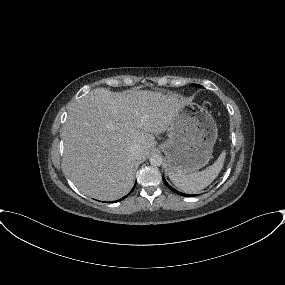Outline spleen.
I'll use <instances>...</instances> for the list:
<instances>
[{
	"mask_svg": "<svg viewBox=\"0 0 285 285\" xmlns=\"http://www.w3.org/2000/svg\"><path fill=\"white\" fill-rule=\"evenodd\" d=\"M226 152L223 151L213 165L203 171L190 174L169 172V178L172 183L185 193H198L210 185L219 175L223 168Z\"/></svg>",
	"mask_w": 285,
	"mask_h": 285,
	"instance_id": "1",
	"label": "spleen"
}]
</instances>
